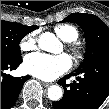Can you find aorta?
I'll use <instances>...</instances> for the list:
<instances>
[{
  "label": "aorta",
  "instance_id": "1",
  "mask_svg": "<svg viewBox=\"0 0 109 109\" xmlns=\"http://www.w3.org/2000/svg\"><path fill=\"white\" fill-rule=\"evenodd\" d=\"M60 41L50 32H45L40 35L38 40V46L40 49L56 53L60 48ZM62 89L58 85H52L48 88V98L52 101H58L62 98Z\"/></svg>",
  "mask_w": 109,
  "mask_h": 109
}]
</instances>
